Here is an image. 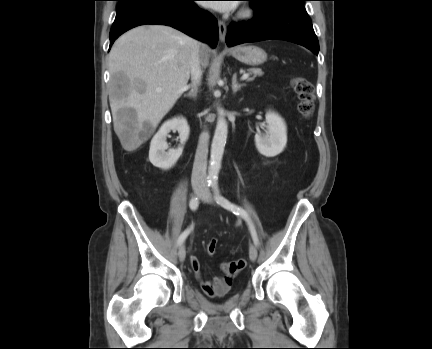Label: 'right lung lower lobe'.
Masks as SVG:
<instances>
[{
  "mask_svg": "<svg viewBox=\"0 0 432 349\" xmlns=\"http://www.w3.org/2000/svg\"><path fill=\"white\" fill-rule=\"evenodd\" d=\"M116 17L110 31V47L129 29L144 24L174 27L208 43L218 42V24L214 17L200 9L195 0H118Z\"/></svg>",
  "mask_w": 432,
  "mask_h": 349,
  "instance_id": "98d812e1",
  "label": "right lung lower lobe"
}]
</instances>
